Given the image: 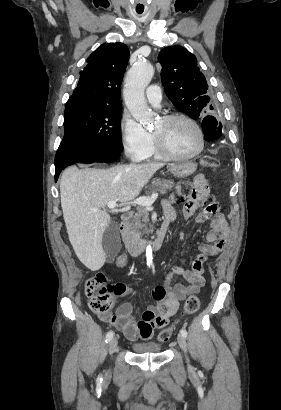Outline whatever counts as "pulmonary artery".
I'll list each match as a JSON object with an SVG mask.
<instances>
[{"label":"pulmonary artery","mask_w":281,"mask_h":410,"mask_svg":"<svg viewBox=\"0 0 281 410\" xmlns=\"http://www.w3.org/2000/svg\"><path fill=\"white\" fill-rule=\"evenodd\" d=\"M148 102L156 108L160 107L162 101L161 88L158 85H150L146 90Z\"/></svg>","instance_id":"e3ab8cb5"}]
</instances>
